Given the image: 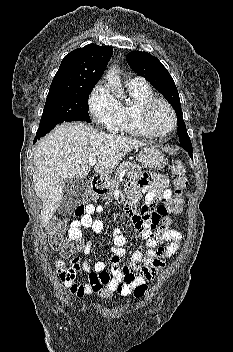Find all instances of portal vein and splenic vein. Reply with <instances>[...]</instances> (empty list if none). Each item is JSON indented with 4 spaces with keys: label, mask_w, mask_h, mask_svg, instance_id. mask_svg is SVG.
I'll use <instances>...</instances> for the list:
<instances>
[{
    "label": "portal vein and splenic vein",
    "mask_w": 233,
    "mask_h": 352,
    "mask_svg": "<svg viewBox=\"0 0 233 352\" xmlns=\"http://www.w3.org/2000/svg\"><path fill=\"white\" fill-rule=\"evenodd\" d=\"M95 163H96V158H90V159L88 160L89 166H93V165H95ZM125 173H126V171H123V172H122V174H121L120 177H119L120 180H122V178L124 177V174H125Z\"/></svg>",
    "instance_id": "obj_1"
}]
</instances>
